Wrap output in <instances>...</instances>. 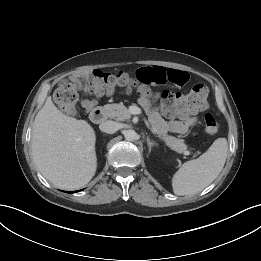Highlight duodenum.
<instances>
[{
    "label": "duodenum",
    "instance_id": "obj_1",
    "mask_svg": "<svg viewBox=\"0 0 261 261\" xmlns=\"http://www.w3.org/2000/svg\"><path fill=\"white\" fill-rule=\"evenodd\" d=\"M90 120L95 123L99 124L105 120V111L102 107H94L90 112Z\"/></svg>",
    "mask_w": 261,
    "mask_h": 261
}]
</instances>
